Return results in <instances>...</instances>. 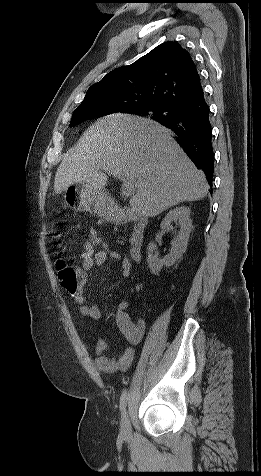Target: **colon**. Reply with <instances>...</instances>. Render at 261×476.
Returning <instances> with one entry per match:
<instances>
[{
    "label": "colon",
    "mask_w": 261,
    "mask_h": 476,
    "mask_svg": "<svg viewBox=\"0 0 261 476\" xmlns=\"http://www.w3.org/2000/svg\"><path fill=\"white\" fill-rule=\"evenodd\" d=\"M57 277L60 284L69 292H75L80 285V275L78 270L69 265L65 260L59 259L56 263Z\"/></svg>",
    "instance_id": "1"
}]
</instances>
